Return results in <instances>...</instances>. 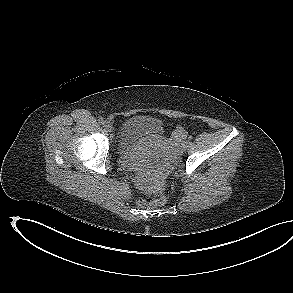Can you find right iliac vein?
Here are the masks:
<instances>
[{
  "mask_svg": "<svg viewBox=\"0 0 293 293\" xmlns=\"http://www.w3.org/2000/svg\"><path fill=\"white\" fill-rule=\"evenodd\" d=\"M104 128H105L107 131H109V132L112 131V126H111V124L108 123V122H106V123L104 124Z\"/></svg>",
  "mask_w": 293,
  "mask_h": 293,
  "instance_id": "right-iliac-vein-1",
  "label": "right iliac vein"
}]
</instances>
